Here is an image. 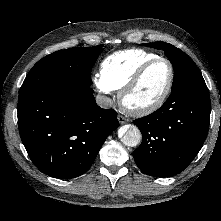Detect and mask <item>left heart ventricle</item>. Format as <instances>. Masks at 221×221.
I'll use <instances>...</instances> for the list:
<instances>
[{"instance_id":"b2bd125f","label":"left heart ventricle","mask_w":221,"mask_h":221,"mask_svg":"<svg viewBox=\"0 0 221 221\" xmlns=\"http://www.w3.org/2000/svg\"><path fill=\"white\" fill-rule=\"evenodd\" d=\"M169 79V66L165 62L154 64L143 76L136 88L127 96L132 107L144 106L155 101L165 89Z\"/></svg>"}]
</instances>
